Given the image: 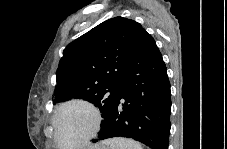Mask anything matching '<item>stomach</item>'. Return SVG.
Masks as SVG:
<instances>
[{
  "label": "stomach",
  "instance_id": "obj_1",
  "mask_svg": "<svg viewBox=\"0 0 227 149\" xmlns=\"http://www.w3.org/2000/svg\"><path fill=\"white\" fill-rule=\"evenodd\" d=\"M92 149H107L104 145H98L97 147H94Z\"/></svg>",
  "mask_w": 227,
  "mask_h": 149
}]
</instances>
